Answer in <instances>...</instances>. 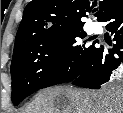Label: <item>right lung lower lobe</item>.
Wrapping results in <instances>:
<instances>
[{
  "mask_svg": "<svg viewBox=\"0 0 123 113\" xmlns=\"http://www.w3.org/2000/svg\"><path fill=\"white\" fill-rule=\"evenodd\" d=\"M100 22H109L106 29L114 35L112 49L97 46L80 75L72 84L98 89L113 76V71L123 67V0H120L104 15Z\"/></svg>",
  "mask_w": 123,
  "mask_h": 113,
  "instance_id": "right-lung-lower-lobe-1",
  "label": "right lung lower lobe"
}]
</instances>
